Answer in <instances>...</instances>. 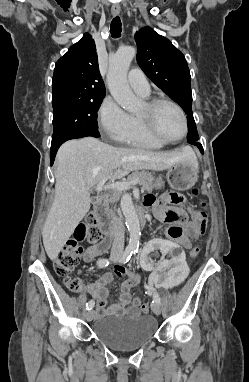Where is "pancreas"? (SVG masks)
Listing matches in <instances>:
<instances>
[{"label": "pancreas", "instance_id": "cf45deb5", "mask_svg": "<svg viewBox=\"0 0 249 382\" xmlns=\"http://www.w3.org/2000/svg\"><path fill=\"white\" fill-rule=\"evenodd\" d=\"M134 179H139L138 184L141 186L143 190H152L154 188H157V184L154 183V178L151 173L147 171H141V172H134L131 175L128 176L127 182H130ZM122 191L114 190L113 195L111 197V201L113 203L117 202L121 195Z\"/></svg>", "mask_w": 249, "mask_h": 382}]
</instances>
